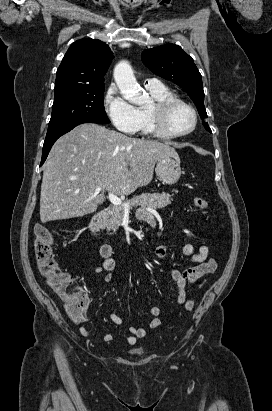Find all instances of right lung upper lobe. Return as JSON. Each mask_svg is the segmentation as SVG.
Segmentation results:
<instances>
[{"instance_id": "cb5924a9", "label": "right lung upper lobe", "mask_w": 272, "mask_h": 411, "mask_svg": "<svg viewBox=\"0 0 272 411\" xmlns=\"http://www.w3.org/2000/svg\"><path fill=\"white\" fill-rule=\"evenodd\" d=\"M113 58L109 46L98 39L75 41L57 70L55 92L104 85V75Z\"/></svg>"}]
</instances>
